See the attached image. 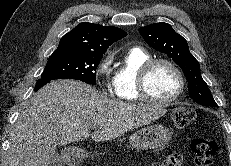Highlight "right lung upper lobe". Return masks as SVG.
Masks as SVG:
<instances>
[{"label":"right lung upper lobe","mask_w":231,"mask_h":166,"mask_svg":"<svg viewBox=\"0 0 231 166\" xmlns=\"http://www.w3.org/2000/svg\"><path fill=\"white\" fill-rule=\"evenodd\" d=\"M126 35L125 31L117 27L83 22L61 38L57 50L103 55L110 45Z\"/></svg>","instance_id":"cb5924a9"}]
</instances>
